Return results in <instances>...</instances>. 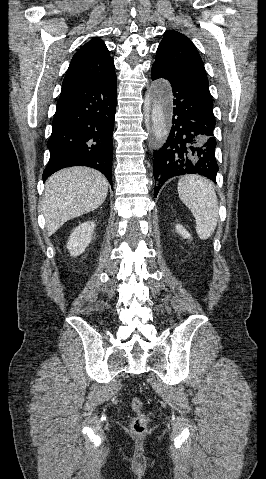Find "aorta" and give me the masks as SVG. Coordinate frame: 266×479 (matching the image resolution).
Here are the masks:
<instances>
[{
	"instance_id": "obj_1",
	"label": "aorta",
	"mask_w": 266,
	"mask_h": 479,
	"mask_svg": "<svg viewBox=\"0 0 266 479\" xmlns=\"http://www.w3.org/2000/svg\"><path fill=\"white\" fill-rule=\"evenodd\" d=\"M151 121L153 123V131L158 140L167 134L166 115L163 108L161 98H156L151 106Z\"/></svg>"
}]
</instances>
